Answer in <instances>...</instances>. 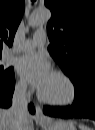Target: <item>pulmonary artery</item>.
I'll list each match as a JSON object with an SVG mask.
<instances>
[{
	"instance_id": "1",
	"label": "pulmonary artery",
	"mask_w": 95,
	"mask_h": 130,
	"mask_svg": "<svg viewBox=\"0 0 95 130\" xmlns=\"http://www.w3.org/2000/svg\"><path fill=\"white\" fill-rule=\"evenodd\" d=\"M47 40V34L44 31H36L32 39H27L23 41L20 46H18V51H30L37 46H42Z\"/></svg>"
}]
</instances>
